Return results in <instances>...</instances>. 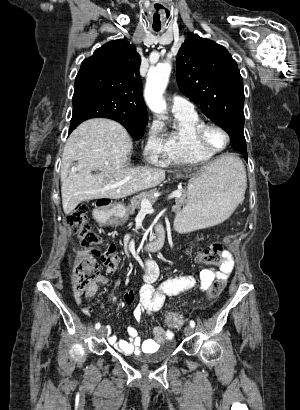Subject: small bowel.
Masks as SVG:
<instances>
[{
    "label": "small bowel",
    "instance_id": "c3829d8e",
    "mask_svg": "<svg viewBox=\"0 0 300 410\" xmlns=\"http://www.w3.org/2000/svg\"><path fill=\"white\" fill-rule=\"evenodd\" d=\"M79 253H82L80 251ZM234 269L233 256L223 251L221 261L215 267L203 269L198 279L189 274L173 275L165 279L159 286L155 287L154 283L158 278V269L154 262L145 260V274L143 282L139 290V303L133 310L134 319L139 322L145 312L154 313L159 311L164 304L167 296H177L188 290L197 287L199 290L206 292L209 290L213 282L223 280L227 281ZM108 279L104 276L97 277L91 282L85 291L74 292V300L78 306L83 303L82 295L91 298L96 295L100 285H106ZM134 300L133 290H129L123 296L125 304H132ZM83 314L89 316L92 312L91 306H86L82 309ZM108 335L109 343L119 352L123 354H138L154 351L161 343L172 338L173 333L163 326H155L153 329V338L144 339L138 329L134 326L127 327L128 340H120L111 333L109 326L104 327Z\"/></svg>",
    "mask_w": 300,
    "mask_h": 410
}]
</instances>
